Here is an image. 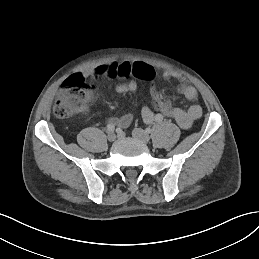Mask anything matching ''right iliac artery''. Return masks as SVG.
<instances>
[{
    "label": "right iliac artery",
    "mask_w": 259,
    "mask_h": 259,
    "mask_svg": "<svg viewBox=\"0 0 259 259\" xmlns=\"http://www.w3.org/2000/svg\"><path fill=\"white\" fill-rule=\"evenodd\" d=\"M107 130H108L109 132H113V131L115 130V126H114L113 124H108V125H107Z\"/></svg>",
    "instance_id": "82829eb1"
}]
</instances>
